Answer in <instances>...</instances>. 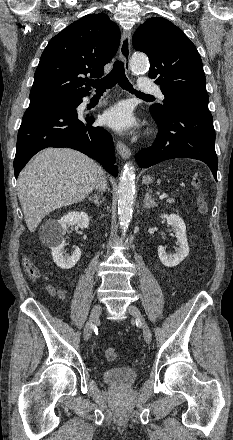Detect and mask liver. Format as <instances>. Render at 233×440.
<instances>
[{
  "label": "liver",
  "instance_id": "liver-1",
  "mask_svg": "<svg viewBox=\"0 0 233 440\" xmlns=\"http://www.w3.org/2000/svg\"><path fill=\"white\" fill-rule=\"evenodd\" d=\"M102 175L101 167L79 151L47 148L39 152L17 182L28 230L34 232L51 211L85 199Z\"/></svg>",
  "mask_w": 233,
  "mask_h": 440
}]
</instances>
